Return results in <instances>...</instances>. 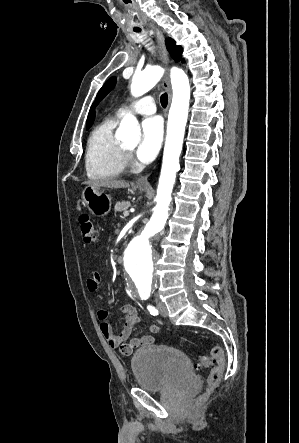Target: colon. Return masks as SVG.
I'll list each match as a JSON object with an SVG mask.
<instances>
[{
    "label": "colon",
    "mask_w": 299,
    "mask_h": 443,
    "mask_svg": "<svg viewBox=\"0 0 299 443\" xmlns=\"http://www.w3.org/2000/svg\"><path fill=\"white\" fill-rule=\"evenodd\" d=\"M79 225L81 231V237L85 243H93L97 238L96 229L92 219L87 214H82L79 217ZM224 363H225V355L224 350L221 347H213L211 349L210 356L208 355H200L198 356L195 367L196 369H204L212 366L209 377H208V387L214 388L219 384L223 377L224 372ZM204 399V396L201 397V400Z\"/></svg>",
    "instance_id": "1"
}]
</instances>
